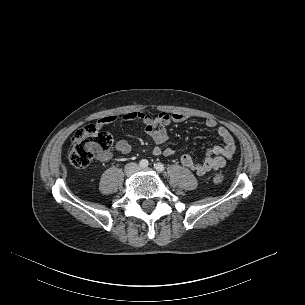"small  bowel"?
<instances>
[{"label": "small bowel", "instance_id": "1", "mask_svg": "<svg viewBox=\"0 0 305 305\" xmlns=\"http://www.w3.org/2000/svg\"><path fill=\"white\" fill-rule=\"evenodd\" d=\"M189 119V116L184 113H168L161 112L157 116H151L138 111H130L121 115H107L99 119L95 126L101 129L107 125L115 123L118 120L126 122H140L143 124L144 131L148 137L156 144L165 143L168 138V127L173 123H182ZM206 127L213 129L217 127V121L208 118L205 121ZM217 134L222 140V145L214 146L207 150L204 158L201 161H195L190 154H183L180 156V162L183 166L191 169L198 175L207 174L213 170H217L225 166L227 160H231L236 152V143L231 132L224 126L217 128ZM115 149L127 155L131 152V146L126 140H118L115 143ZM152 153L156 156L163 155L167 158L175 156V151L172 148H161L155 146ZM111 152H104L99 156L103 162L110 160Z\"/></svg>", "mask_w": 305, "mask_h": 305}]
</instances>
